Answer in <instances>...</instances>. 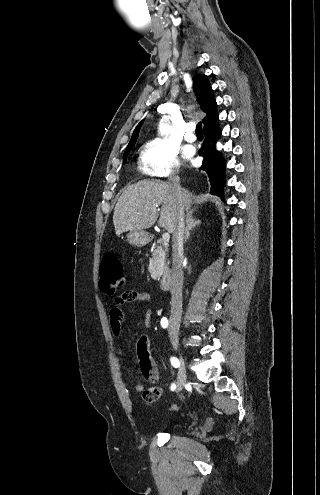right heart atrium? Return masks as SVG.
I'll return each instance as SVG.
<instances>
[{"mask_svg":"<svg viewBox=\"0 0 320 495\" xmlns=\"http://www.w3.org/2000/svg\"><path fill=\"white\" fill-rule=\"evenodd\" d=\"M139 165L145 174L166 178L178 173L180 161L172 144L162 139H153L142 148Z\"/></svg>","mask_w":320,"mask_h":495,"instance_id":"obj_1","label":"right heart atrium"}]
</instances>
